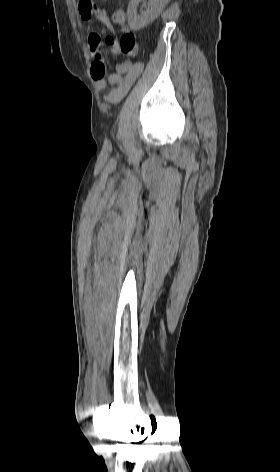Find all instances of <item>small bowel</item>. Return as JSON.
<instances>
[{
  "instance_id": "1",
  "label": "small bowel",
  "mask_w": 280,
  "mask_h": 472,
  "mask_svg": "<svg viewBox=\"0 0 280 472\" xmlns=\"http://www.w3.org/2000/svg\"><path fill=\"white\" fill-rule=\"evenodd\" d=\"M88 1L91 2V8L88 7ZM79 14L84 21H88L95 16L104 23L109 29L113 25L118 26L123 32H128L126 24V13L122 9L115 10L111 17L105 10L96 5L92 0H78ZM88 45L93 57L91 65V75L95 81V87L98 90H107L104 100L111 104L119 103L128 93L134 82L143 71L141 62L123 61L116 65V73L106 77V65L103 57L106 48L112 54L120 53L119 41L113 36H107L102 40L97 32H92L88 38Z\"/></svg>"
}]
</instances>
